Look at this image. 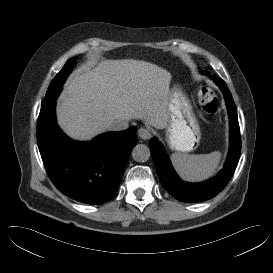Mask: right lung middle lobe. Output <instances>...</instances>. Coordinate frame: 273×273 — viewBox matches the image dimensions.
<instances>
[{"label":"right lung middle lobe","mask_w":273,"mask_h":273,"mask_svg":"<svg viewBox=\"0 0 273 273\" xmlns=\"http://www.w3.org/2000/svg\"><path fill=\"white\" fill-rule=\"evenodd\" d=\"M75 64H76V58H71L67 61V63L64 65L62 70L52 80L45 97L52 95L55 90L63 86L67 77L69 76L72 69L74 68Z\"/></svg>","instance_id":"obj_1"}]
</instances>
